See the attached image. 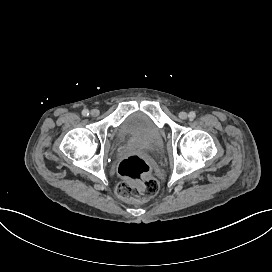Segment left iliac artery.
I'll return each mask as SVG.
<instances>
[{
	"label": "left iliac artery",
	"mask_w": 272,
	"mask_h": 272,
	"mask_svg": "<svg viewBox=\"0 0 272 272\" xmlns=\"http://www.w3.org/2000/svg\"><path fill=\"white\" fill-rule=\"evenodd\" d=\"M188 116H189V118H190L191 120H193V119L196 117V114H195V112H190V113L188 114Z\"/></svg>",
	"instance_id": "44dca946"
}]
</instances>
